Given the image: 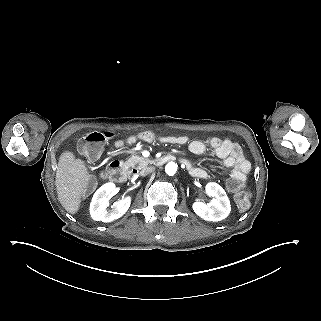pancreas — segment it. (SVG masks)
I'll return each instance as SVG.
<instances>
[{
    "label": "pancreas",
    "mask_w": 321,
    "mask_h": 321,
    "mask_svg": "<svg viewBox=\"0 0 321 321\" xmlns=\"http://www.w3.org/2000/svg\"><path fill=\"white\" fill-rule=\"evenodd\" d=\"M151 163H153V161L148 158H144L140 155L132 154V156L124 164V168L125 169H128V168L142 169Z\"/></svg>",
    "instance_id": "pancreas-1"
}]
</instances>
